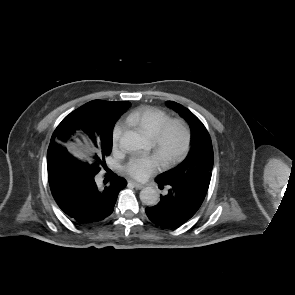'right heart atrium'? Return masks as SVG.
Wrapping results in <instances>:
<instances>
[{"instance_id": "obj_1", "label": "right heart atrium", "mask_w": 295, "mask_h": 295, "mask_svg": "<svg viewBox=\"0 0 295 295\" xmlns=\"http://www.w3.org/2000/svg\"><path fill=\"white\" fill-rule=\"evenodd\" d=\"M123 132H124V125L121 123L116 124L112 132V143L115 148L118 146Z\"/></svg>"}]
</instances>
